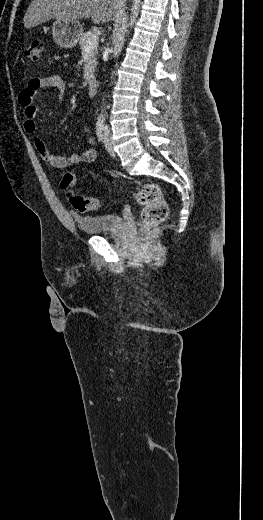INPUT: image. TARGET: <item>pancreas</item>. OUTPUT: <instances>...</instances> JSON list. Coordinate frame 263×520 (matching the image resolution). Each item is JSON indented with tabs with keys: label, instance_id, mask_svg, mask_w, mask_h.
<instances>
[{
	"label": "pancreas",
	"instance_id": "pancreas-1",
	"mask_svg": "<svg viewBox=\"0 0 263 520\" xmlns=\"http://www.w3.org/2000/svg\"><path fill=\"white\" fill-rule=\"evenodd\" d=\"M95 34L94 31H88L86 33H83L79 39V45L82 50V52L85 54V49L87 48V41L92 38V36ZM98 54V47L95 46L94 48L89 49V51L86 53L85 57V65H84V79L85 82L89 83L94 78V70L97 65V57Z\"/></svg>",
	"mask_w": 263,
	"mask_h": 520
}]
</instances>
